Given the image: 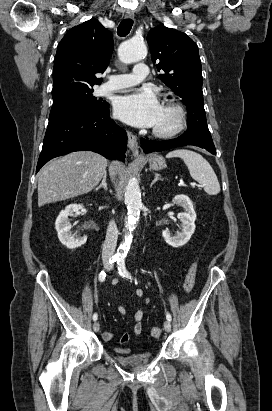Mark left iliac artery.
<instances>
[{
  "label": "left iliac artery",
  "mask_w": 272,
  "mask_h": 411,
  "mask_svg": "<svg viewBox=\"0 0 272 411\" xmlns=\"http://www.w3.org/2000/svg\"><path fill=\"white\" fill-rule=\"evenodd\" d=\"M118 271L119 274L127 279H132L130 273L127 271L126 266H125V259L124 258H119L118 259ZM166 318L170 322L172 320L171 315L167 312L166 313Z\"/></svg>",
  "instance_id": "obj_1"
}]
</instances>
